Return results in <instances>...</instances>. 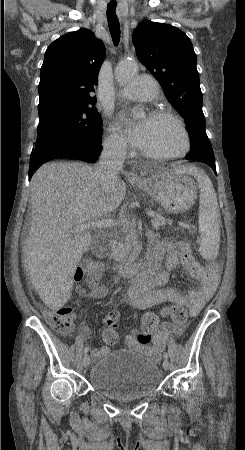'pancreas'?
Listing matches in <instances>:
<instances>
[{"mask_svg": "<svg viewBox=\"0 0 245 450\" xmlns=\"http://www.w3.org/2000/svg\"><path fill=\"white\" fill-rule=\"evenodd\" d=\"M151 225L155 230L166 225V220L161 215H155L151 220ZM122 238L119 239L114 252L117 261L127 262L136 259L138 256L137 234L134 227H126L122 231Z\"/></svg>", "mask_w": 245, "mask_h": 450, "instance_id": "pancreas-1", "label": "pancreas"}]
</instances>
